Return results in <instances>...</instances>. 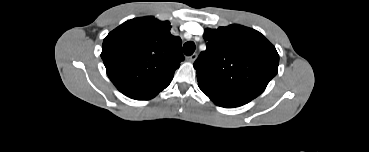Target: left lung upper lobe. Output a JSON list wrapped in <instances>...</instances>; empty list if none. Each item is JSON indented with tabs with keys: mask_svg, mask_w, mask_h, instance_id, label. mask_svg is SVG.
<instances>
[{
	"mask_svg": "<svg viewBox=\"0 0 369 152\" xmlns=\"http://www.w3.org/2000/svg\"><path fill=\"white\" fill-rule=\"evenodd\" d=\"M194 63L199 86L254 99L277 74L279 55L258 31L241 25L206 29Z\"/></svg>",
	"mask_w": 369,
	"mask_h": 152,
	"instance_id": "1",
	"label": "left lung upper lobe"
}]
</instances>
